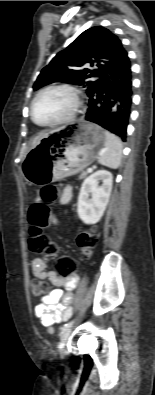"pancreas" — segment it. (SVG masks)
Listing matches in <instances>:
<instances>
[{"instance_id": "1", "label": "pancreas", "mask_w": 155, "mask_h": 395, "mask_svg": "<svg viewBox=\"0 0 155 395\" xmlns=\"http://www.w3.org/2000/svg\"><path fill=\"white\" fill-rule=\"evenodd\" d=\"M86 175H87L86 172H82V173L80 174L79 178H80V179H83Z\"/></svg>"}]
</instances>
